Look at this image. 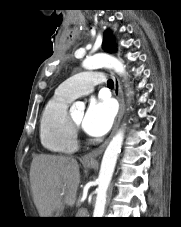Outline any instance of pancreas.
Segmentation results:
<instances>
[{
    "mask_svg": "<svg viewBox=\"0 0 181 227\" xmlns=\"http://www.w3.org/2000/svg\"><path fill=\"white\" fill-rule=\"evenodd\" d=\"M87 210L85 208H80L77 212L76 217H86Z\"/></svg>",
    "mask_w": 181,
    "mask_h": 227,
    "instance_id": "cf45deb5",
    "label": "pancreas"
}]
</instances>
